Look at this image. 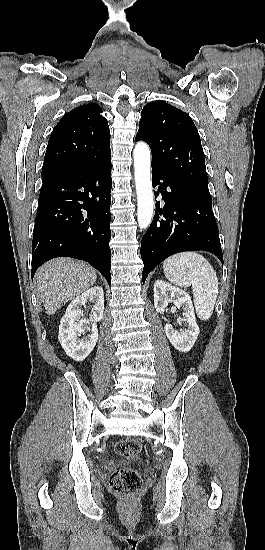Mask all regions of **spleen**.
I'll return each instance as SVG.
<instances>
[{
  "mask_svg": "<svg viewBox=\"0 0 265 550\" xmlns=\"http://www.w3.org/2000/svg\"><path fill=\"white\" fill-rule=\"evenodd\" d=\"M165 277L174 285H192L197 316L208 320L214 310L219 292L218 278L210 263L196 252H183L163 262Z\"/></svg>",
  "mask_w": 265,
  "mask_h": 550,
  "instance_id": "1",
  "label": "spleen"
}]
</instances>
